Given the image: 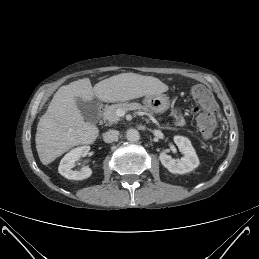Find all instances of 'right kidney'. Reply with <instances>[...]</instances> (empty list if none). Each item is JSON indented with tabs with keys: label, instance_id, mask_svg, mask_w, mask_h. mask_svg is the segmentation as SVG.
<instances>
[{
	"label": "right kidney",
	"instance_id": "right-kidney-1",
	"mask_svg": "<svg viewBox=\"0 0 259 259\" xmlns=\"http://www.w3.org/2000/svg\"><path fill=\"white\" fill-rule=\"evenodd\" d=\"M90 146H81L68 152L61 160L58 167L59 173L70 180H83L89 178L92 170L89 167H83L80 171L73 170L75 161L80 157H85L89 153Z\"/></svg>",
	"mask_w": 259,
	"mask_h": 259
}]
</instances>
